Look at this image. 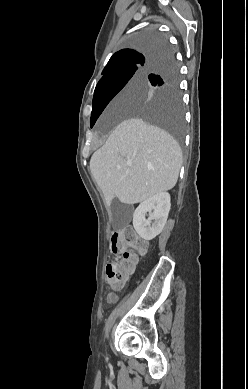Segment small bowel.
<instances>
[{"mask_svg": "<svg viewBox=\"0 0 248 389\" xmlns=\"http://www.w3.org/2000/svg\"><path fill=\"white\" fill-rule=\"evenodd\" d=\"M118 297L115 293H110L107 297V300L109 303H115L117 301Z\"/></svg>", "mask_w": 248, "mask_h": 389, "instance_id": "small-bowel-1", "label": "small bowel"}]
</instances>
